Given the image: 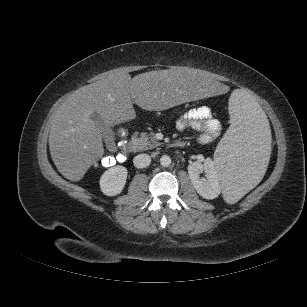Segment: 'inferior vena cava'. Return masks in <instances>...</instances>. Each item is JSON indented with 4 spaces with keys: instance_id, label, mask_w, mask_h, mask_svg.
<instances>
[{
    "instance_id": "obj_1",
    "label": "inferior vena cava",
    "mask_w": 307,
    "mask_h": 307,
    "mask_svg": "<svg viewBox=\"0 0 307 307\" xmlns=\"http://www.w3.org/2000/svg\"><path fill=\"white\" fill-rule=\"evenodd\" d=\"M136 168H145L150 165L151 157L148 154H139L133 159Z\"/></svg>"
}]
</instances>
